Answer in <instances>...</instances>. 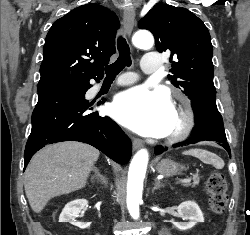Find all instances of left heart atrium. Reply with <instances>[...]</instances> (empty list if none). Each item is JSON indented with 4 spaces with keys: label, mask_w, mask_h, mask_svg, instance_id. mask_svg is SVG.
I'll return each mask as SVG.
<instances>
[{
    "label": "left heart atrium",
    "mask_w": 250,
    "mask_h": 235,
    "mask_svg": "<svg viewBox=\"0 0 250 235\" xmlns=\"http://www.w3.org/2000/svg\"><path fill=\"white\" fill-rule=\"evenodd\" d=\"M175 112L168 94L162 90L135 87L120 93L112 105V115L125 127L144 136H165Z\"/></svg>",
    "instance_id": "left-heart-atrium-1"
}]
</instances>
